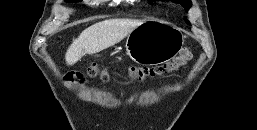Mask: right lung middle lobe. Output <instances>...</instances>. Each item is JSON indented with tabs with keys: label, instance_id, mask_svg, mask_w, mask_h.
I'll return each instance as SVG.
<instances>
[{
	"label": "right lung middle lobe",
	"instance_id": "obj_1",
	"mask_svg": "<svg viewBox=\"0 0 257 130\" xmlns=\"http://www.w3.org/2000/svg\"><path fill=\"white\" fill-rule=\"evenodd\" d=\"M76 1V0H69V2Z\"/></svg>",
	"mask_w": 257,
	"mask_h": 130
}]
</instances>
